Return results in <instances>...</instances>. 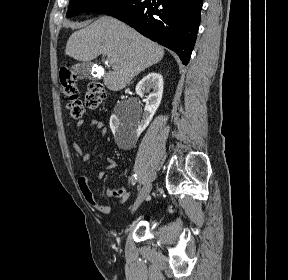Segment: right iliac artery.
I'll list each match as a JSON object with an SVG mask.
<instances>
[{
    "mask_svg": "<svg viewBox=\"0 0 288 280\" xmlns=\"http://www.w3.org/2000/svg\"><path fill=\"white\" fill-rule=\"evenodd\" d=\"M133 177L134 178L132 179V184L134 185L136 183L137 178H136V175H134Z\"/></svg>",
    "mask_w": 288,
    "mask_h": 280,
    "instance_id": "82829eb1",
    "label": "right iliac artery"
}]
</instances>
